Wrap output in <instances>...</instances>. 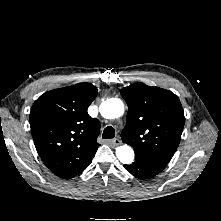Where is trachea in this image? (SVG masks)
<instances>
[{
    "mask_svg": "<svg viewBox=\"0 0 221 221\" xmlns=\"http://www.w3.org/2000/svg\"><path fill=\"white\" fill-rule=\"evenodd\" d=\"M114 136H115L114 128L112 126H107L103 131L102 137L104 139H111V138H114Z\"/></svg>",
    "mask_w": 221,
    "mask_h": 221,
    "instance_id": "1",
    "label": "trachea"
}]
</instances>
